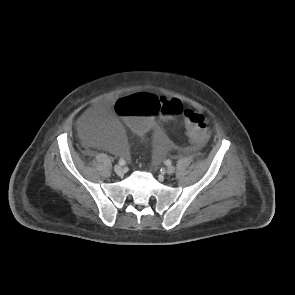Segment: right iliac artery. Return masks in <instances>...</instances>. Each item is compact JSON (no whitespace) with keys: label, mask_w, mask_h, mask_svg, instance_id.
Returning a JSON list of instances; mask_svg holds the SVG:
<instances>
[{"label":"right iliac artery","mask_w":295,"mask_h":295,"mask_svg":"<svg viewBox=\"0 0 295 295\" xmlns=\"http://www.w3.org/2000/svg\"><path fill=\"white\" fill-rule=\"evenodd\" d=\"M125 163H126L125 160H123V159L119 160V165L123 166V165H125Z\"/></svg>","instance_id":"obj_1"}]
</instances>
